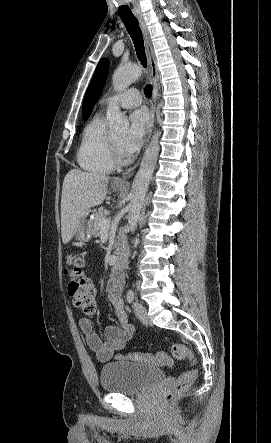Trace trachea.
Wrapping results in <instances>:
<instances>
[{
	"instance_id": "trachea-1",
	"label": "trachea",
	"mask_w": 271,
	"mask_h": 443,
	"mask_svg": "<svg viewBox=\"0 0 271 443\" xmlns=\"http://www.w3.org/2000/svg\"><path fill=\"white\" fill-rule=\"evenodd\" d=\"M129 1L130 0H121L120 1V4H119L120 9L118 11V16H119V18H121V20L125 24V26L128 30V33L130 34V36L134 42V46H135L139 61L141 62V64L144 67H146L147 60H146V55H145V50H144V45H143L142 33L139 28L137 18L134 17V15H132V10H131V7L129 6L130 5ZM144 93L147 98H150L152 95V85H150V84L146 85V87L144 88Z\"/></svg>"
}]
</instances>
